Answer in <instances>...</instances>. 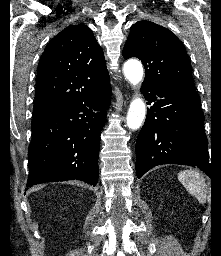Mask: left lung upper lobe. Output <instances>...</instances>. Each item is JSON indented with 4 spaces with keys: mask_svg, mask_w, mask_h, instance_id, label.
Returning a JSON list of instances; mask_svg holds the SVG:
<instances>
[{
    "mask_svg": "<svg viewBox=\"0 0 221 256\" xmlns=\"http://www.w3.org/2000/svg\"><path fill=\"white\" fill-rule=\"evenodd\" d=\"M123 56L139 58L146 70L143 84L195 91L191 64L181 41L151 21L132 25Z\"/></svg>",
    "mask_w": 221,
    "mask_h": 256,
    "instance_id": "obj_1",
    "label": "left lung upper lobe"
}]
</instances>
